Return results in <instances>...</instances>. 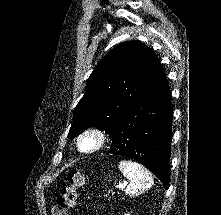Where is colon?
I'll return each instance as SVG.
<instances>
[{
	"label": "colon",
	"mask_w": 221,
	"mask_h": 215,
	"mask_svg": "<svg viewBox=\"0 0 221 215\" xmlns=\"http://www.w3.org/2000/svg\"><path fill=\"white\" fill-rule=\"evenodd\" d=\"M84 177L81 172L71 170L66 176V183L62 187L56 204L52 207V215H69L71 208L76 205L78 189L82 187Z\"/></svg>",
	"instance_id": "5ec220e1"
}]
</instances>
